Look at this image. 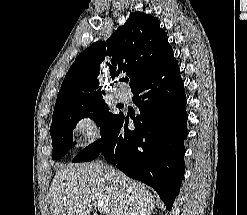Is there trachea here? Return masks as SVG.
Instances as JSON below:
<instances>
[{
  "label": "trachea",
  "mask_w": 247,
  "mask_h": 215,
  "mask_svg": "<svg viewBox=\"0 0 247 215\" xmlns=\"http://www.w3.org/2000/svg\"><path fill=\"white\" fill-rule=\"evenodd\" d=\"M124 81H125V82H128V81H129V79H128V78H124Z\"/></svg>",
  "instance_id": "trachea-1"
}]
</instances>
